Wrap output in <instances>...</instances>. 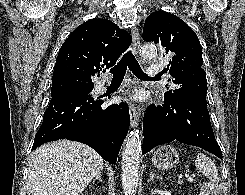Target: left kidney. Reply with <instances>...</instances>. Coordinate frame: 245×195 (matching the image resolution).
Masks as SVG:
<instances>
[{
  "label": "left kidney",
  "instance_id": "5707ae66",
  "mask_svg": "<svg viewBox=\"0 0 245 195\" xmlns=\"http://www.w3.org/2000/svg\"><path fill=\"white\" fill-rule=\"evenodd\" d=\"M157 194V195H171L170 192L168 191H163V190H154L152 192V195Z\"/></svg>",
  "mask_w": 245,
  "mask_h": 195
}]
</instances>
